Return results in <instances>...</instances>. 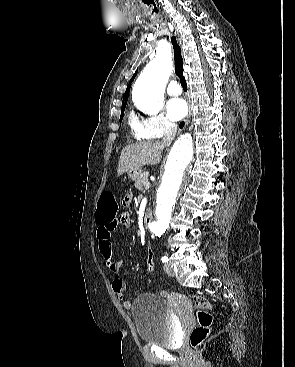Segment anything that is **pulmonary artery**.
I'll list each match as a JSON object with an SVG mask.
<instances>
[{"instance_id":"obj_1","label":"pulmonary artery","mask_w":295,"mask_h":367,"mask_svg":"<svg viewBox=\"0 0 295 367\" xmlns=\"http://www.w3.org/2000/svg\"><path fill=\"white\" fill-rule=\"evenodd\" d=\"M167 93L170 96H178L182 93V88L175 80H172L167 87Z\"/></svg>"}]
</instances>
